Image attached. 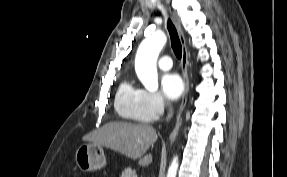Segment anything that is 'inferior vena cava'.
Masks as SVG:
<instances>
[{
	"mask_svg": "<svg viewBox=\"0 0 287 177\" xmlns=\"http://www.w3.org/2000/svg\"><path fill=\"white\" fill-rule=\"evenodd\" d=\"M172 114H173L172 108H170L167 120H169L172 117Z\"/></svg>",
	"mask_w": 287,
	"mask_h": 177,
	"instance_id": "602c4592",
	"label": "inferior vena cava"
}]
</instances>
